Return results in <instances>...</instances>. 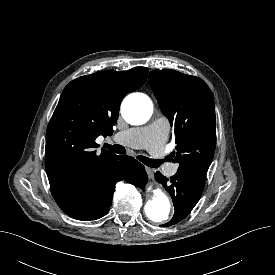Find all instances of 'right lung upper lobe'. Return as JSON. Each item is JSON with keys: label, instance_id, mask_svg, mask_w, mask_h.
<instances>
[{"label": "right lung upper lobe", "instance_id": "right-lung-upper-lobe-1", "mask_svg": "<svg viewBox=\"0 0 275 275\" xmlns=\"http://www.w3.org/2000/svg\"><path fill=\"white\" fill-rule=\"evenodd\" d=\"M147 74L146 67L101 71L79 77L63 90L47 127L45 153L51 193L60 208L117 158L106 149L97 154L95 140L113 133L123 97L139 89Z\"/></svg>", "mask_w": 275, "mask_h": 275}]
</instances>
